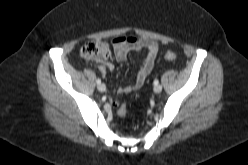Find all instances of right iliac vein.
<instances>
[{
	"instance_id": "63e3f726",
	"label": "right iliac vein",
	"mask_w": 248,
	"mask_h": 165,
	"mask_svg": "<svg viewBox=\"0 0 248 165\" xmlns=\"http://www.w3.org/2000/svg\"><path fill=\"white\" fill-rule=\"evenodd\" d=\"M97 89L100 92H104L106 90V86L104 84H98Z\"/></svg>"
}]
</instances>
